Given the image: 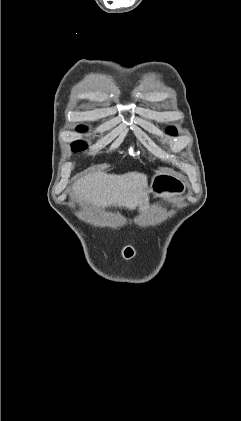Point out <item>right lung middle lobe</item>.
Listing matches in <instances>:
<instances>
[{"label":"right lung middle lobe","instance_id":"1","mask_svg":"<svg viewBox=\"0 0 241 421\" xmlns=\"http://www.w3.org/2000/svg\"><path fill=\"white\" fill-rule=\"evenodd\" d=\"M85 130H86L85 127H78V131H80V132H84ZM86 148H87V145L83 141H76L72 144V150L73 151L84 150Z\"/></svg>","mask_w":241,"mask_h":421}]
</instances>
